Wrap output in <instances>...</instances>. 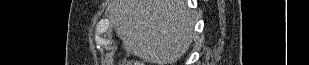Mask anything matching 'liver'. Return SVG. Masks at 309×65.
<instances>
[{
  "label": "liver",
  "mask_w": 309,
  "mask_h": 65,
  "mask_svg": "<svg viewBox=\"0 0 309 65\" xmlns=\"http://www.w3.org/2000/svg\"><path fill=\"white\" fill-rule=\"evenodd\" d=\"M110 17L126 51L168 65L180 59L194 38L193 13L185 0H113Z\"/></svg>",
  "instance_id": "liver-1"
}]
</instances>
